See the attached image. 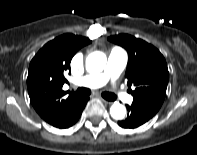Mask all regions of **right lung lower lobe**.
Listing matches in <instances>:
<instances>
[{"label":"right lung lower lobe","instance_id":"98d812e1","mask_svg":"<svg viewBox=\"0 0 197 155\" xmlns=\"http://www.w3.org/2000/svg\"><path fill=\"white\" fill-rule=\"evenodd\" d=\"M88 100H89V97H82L77 103V105L72 109L68 117L56 127L65 129L75 124L77 120L79 119V117L81 116L82 111Z\"/></svg>","mask_w":197,"mask_h":155}]
</instances>
